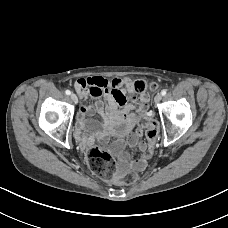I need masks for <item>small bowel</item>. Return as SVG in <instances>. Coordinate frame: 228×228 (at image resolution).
I'll return each instance as SVG.
<instances>
[{"label":"small bowel","instance_id":"obj_1","mask_svg":"<svg viewBox=\"0 0 228 228\" xmlns=\"http://www.w3.org/2000/svg\"><path fill=\"white\" fill-rule=\"evenodd\" d=\"M81 100L89 97L96 100L94 106L81 105L77 116L76 135L81 144L86 145L91 141V133L99 132L102 128L108 129L118 140L112 148L117 154L121 167L130 166L142 171L146 161L140 159L128 164L130 154L124 150L125 145L138 146L145 153L146 143L142 140L143 132L137 129L130 132L131 124L139 122L147 114L149 96L147 93L139 94L135 90L134 82L129 78H114L111 80L103 77H87L75 83ZM99 113L103 122L88 120V116ZM126 136V139L122 138Z\"/></svg>","mask_w":228,"mask_h":228}]
</instances>
